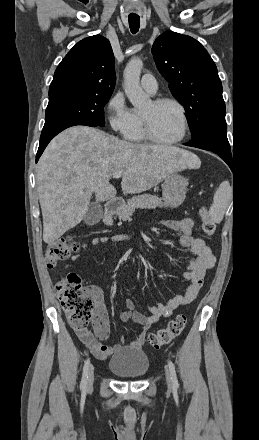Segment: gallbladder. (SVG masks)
<instances>
[{"mask_svg":"<svg viewBox=\"0 0 259 440\" xmlns=\"http://www.w3.org/2000/svg\"><path fill=\"white\" fill-rule=\"evenodd\" d=\"M103 217V207L98 202H93L89 205L86 215L84 216V222L89 225H95Z\"/></svg>","mask_w":259,"mask_h":440,"instance_id":"obj_1","label":"gallbladder"}]
</instances>
